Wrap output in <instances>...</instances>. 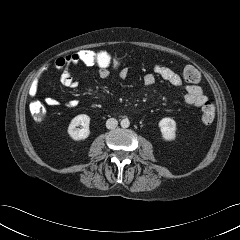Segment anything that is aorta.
<instances>
[{"label":"aorta","instance_id":"aorta-1","mask_svg":"<svg viewBox=\"0 0 240 240\" xmlns=\"http://www.w3.org/2000/svg\"><path fill=\"white\" fill-rule=\"evenodd\" d=\"M120 125L122 128H128L130 126V121L127 118L122 119Z\"/></svg>","mask_w":240,"mask_h":240}]
</instances>
